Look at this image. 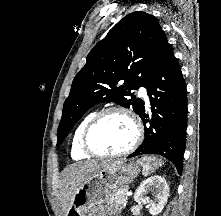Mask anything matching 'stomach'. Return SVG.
<instances>
[{
  "mask_svg": "<svg viewBox=\"0 0 221 216\" xmlns=\"http://www.w3.org/2000/svg\"><path fill=\"white\" fill-rule=\"evenodd\" d=\"M138 164L125 159L107 164L91 175L73 193L65 216H86L97 206L109 203L114 193L132 182L139 173Z\"/></svg>",
  "mask_w": 221,
  "mask_h": 216,
  "instance_id": "obj_1",
  "label": "stomach"
}]
</instances>
